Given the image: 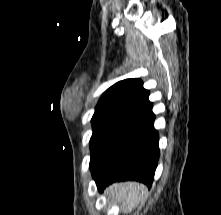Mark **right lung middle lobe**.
I'll return each instance as SVG.
<instances>
[{"label": "right lung middle lobe", "mask_w": 221, "mask_h": 215, "mask_svg": "<svg viewBox=\"0 0 221 215\" xmlns=\"http://www.w3.org/2000/svg\"><path fill=\"white\" fill-rule=\"evenodd\" d=\"M136 112V109L122 105H97L91 120L93 135L90 139V167L97 161L112 136Z\"/></svg>", "instance_id": "right-lung-middle-lobe-1"}]
</instances>
